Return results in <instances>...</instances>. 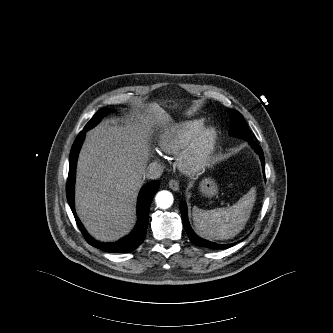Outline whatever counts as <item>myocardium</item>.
I'll return each instance as SVG.
<instances>
[{
	"mask_svg": "<svg viewBox=\"0 0 333 333\" xmlns=\"http://www.w3.org/2000/svg\"><path fill=\"white\" fill-rule=\"evenodd\" d=\"M218 139L215 127H203L193 141L180 153L179 168L185 173H195L203 169L209 162Z\"/></svg>",
	"mask_w": 333,
	"mask_h": 333,
	"instance_id": "obj_1",
	"label": "myocardium"
}]
</instances>
